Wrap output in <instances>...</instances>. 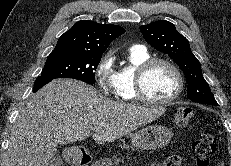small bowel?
Listing matches in <instances>:
<instances>
[{
    "instance_id": "small-bowel-1",
    "label": "small bowel",
    "mask_w": 231,
    "mask_h": 166,
    "mask_svg": "<svg viewBox=\"0 0 231 166\" xmlns=\"http://www.w3.org/2000/svg\"><path fill=\"white\" fill-rule=\"evenodd\" d=\"M153 166H160V165L155 164V165H153Z\"/></svg>"
}]
</instances>
